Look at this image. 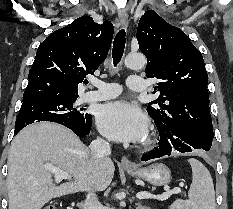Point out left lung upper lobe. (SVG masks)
Returning a JSON list of instances; mask_svg holds the SVG:
<instances>
[{
  "label": "left lung upper lobe",
  "mask_w": 233,
  "mask_h": 209,
  "mask_svg": "<svg viewBox=\"0 0 233 209\" xmlns=\"http://www.w3.org/2000/svg\"><path fill=\"white\" fill-rule=\"evenodd\" d=\"M137 40L147 57L146 77L159 80L154 93L160 95L147 108L155 124H183L214 137L208 76L203 57L189 37L148 10L139 21Z\"/></svg>",
  "instance_id": "5c2ea615"
}]
</instances>
